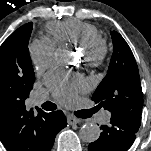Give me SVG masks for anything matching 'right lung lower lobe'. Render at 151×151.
Returning <instances> with one entry per match:
<instances>
[{
	"mask_svg": "<svg viewBox=\"0 0 151 151\" xmlns=\"http://www.w3.org/2000/svg\"><path fill=\"white\" fill-rule=\"evenodd\" d=\"M47 135H48V146L45 151H50L53 144L56 134L63 128L66 127V117L62 111H54L47 113Z\"/></svg>",
	"mask_w": 151,
	"mask_h": 151,
	"instance_id": "98d812e1",
	"label": "right lung lower lobe"
}]
</instances>
